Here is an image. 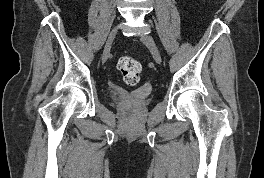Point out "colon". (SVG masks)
Returning <instances> with one entry per match:
<instances>
[{
	"mask_svg": "<svg viewBox=\"0 0 264 178\" xmlns=\"http://www.w3.org/2000/svg\"><path fill=\"white\" fill-rule=\"evenodd\" d=\"M117 70L126 84L135 85L139 81L142 66L134 57L125 56L119 60Z\"/></svg>",
	"mask_w": 264,
	"mask_h": 178,
	"instance_id": "colon-1",
	"label": "colon"
}]
</instances>
